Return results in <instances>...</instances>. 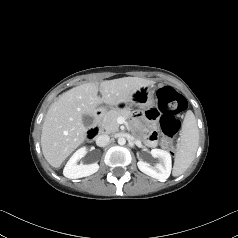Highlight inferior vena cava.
<instances>
[{
    "instance_id": "602c4592",
    "label": "inferior vena cava",
    "mask_w": 238,
    "mask_h": 238,
    "mask_svg": "<svg viewBox=\"0 0 238 238\" xmlns=\"http://www.w3.org/2000/svg\"><path fill=\"white\" fill-rule=\"evenodd\" d=\"M109 142H110V137L106 134L99 135L96 138V144L100 147H104L108 145Z\"/></svg>"
}]
</instances>
